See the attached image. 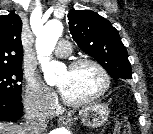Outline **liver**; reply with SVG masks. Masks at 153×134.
Instances as JSON below:
<instances>
[{
  "mask_svg": "<svg viewBox=\"0 0 153 134\" xmlns=\"http://www.w3.org/2000/svg\"><path fill=\"white\" fill-rule=\"evenodd\" d=\"M0 134H24V127L17 124L0 121Z\"/></svg>",
  "mask_w": 153,
  "mask_h": 134,
  "instance_id": "6515ba94",
  "label": "liver"
}]
</instances>
